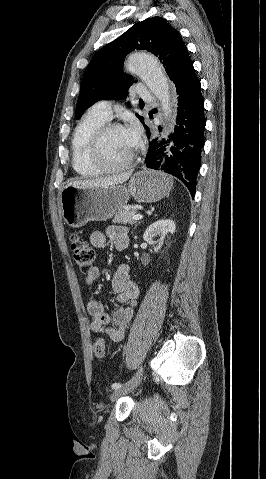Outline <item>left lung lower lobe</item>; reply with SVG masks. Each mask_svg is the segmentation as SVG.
Segmentation results:
<instances>
[{"label":"left lung lower lobe","mask_w":266,"mask_h":479,"mask_svg":"<svg viewBox=\"0 0 266 479\" xmlns=\"http://www.w3.org/2000/svg\"><path fill=\"white\" fill-rule=\"evenodd\" d=\"M178 95V116L175 131L167 141L150 142L145 158L147 168L171 174L180 179L192 197L196 191V179L201 166L204 146V100L200 81L192 62H188L174 81ZM148 136L150 130L144 126Z\"/></svg>","instance_id":"1"}]
</instances>
